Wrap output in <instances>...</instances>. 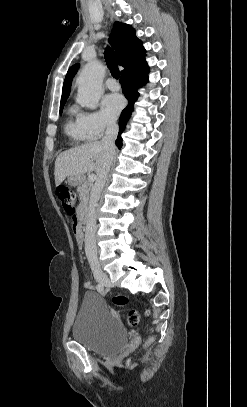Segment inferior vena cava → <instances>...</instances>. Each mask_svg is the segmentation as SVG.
Here are the masks:
<instances>
[{
	"label": "inferior vena cava",
	"instance_id": "1",
	"mask_svg": "<svg viewBox=\"0 0 247 407\" xmlns=\"http://www.w3.org/2000/svg\"><path fill=\"white\" fill-rule=\"evenodd\" d=\"M118 135V125L115 121H109L107 123V128L105 132V136L101 140V145L105 147L110 153H114L115 149V140ZM112 162V157L109 159L106 167L98 176L95 185L92 190V196L89 203L88 208V219L86 223V231H85V253L89 263L97 264L98 263V256H97V245H96V213L95 207L97 201L99 200L101 190L103 189L105 182L107 180L109 168Z\"/></svg>",
	"mask_w": 247,
	"mask_h": 407
}]
</instances>
